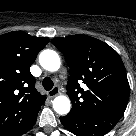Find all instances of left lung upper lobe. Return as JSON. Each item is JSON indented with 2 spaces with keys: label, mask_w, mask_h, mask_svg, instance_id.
Instances as JSON below:
<instances>
[{
  "label": "left lung upper lobe",
  "mask_w": 136,
  "mask_h": 136,
  "mask_svg": "<svg viewBox=\"0 0 136 136\" xmlns=\"http://www.w3.org/2000/svg\"><path fill=\"white\" fill-rule=\"evenodd\" d=\"M52 43L63 53L70 68V112L121 118L130 88L119 54L108 44L86 35L57 37ZM81 83L87 88H81Z\"/></svg>",
  "instance_id": "obj_1"
}]
</instances>
